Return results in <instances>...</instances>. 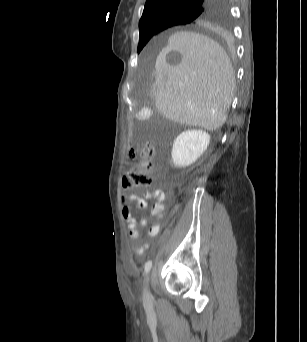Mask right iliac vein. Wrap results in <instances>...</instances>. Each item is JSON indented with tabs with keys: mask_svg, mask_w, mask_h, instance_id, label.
Returning <instances> with one entry per match:
<instances>
[{
	"mask_svg": "<svg viewBox=\"0 0 307 342\" xmlns=\"http://www.w3.org/2000/svg\"><path fill=\"white\" fill-rule=\"evenodd\" d=\"M150 282V276H147L146 281H145V293H144V297L147 298L148 297V285Z\"/></svg>",
	"mask_w": 307,
	"mask_h": 342,
	"instance_id": "1",
	"label": "right iliac vein"
}]
</instances>
